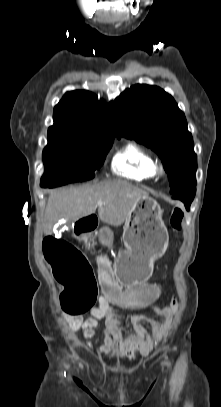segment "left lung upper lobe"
<instances>
[{
    "label": "left lung upper lobe",
    "mask_w": 221,
    "mask_h": 407,
    "mask_svg": "<svg viewBox=\"0 0 221 407\" xmlns=\"http://www.w3.org/2000/svg\"><path fill=\"white\" fill-rule=\"evenodd\" d=\"M117 136L154 150L168 174L170 193L196 187L197 156L184 113L157 86L137 84L115 99Z\"/></svg>",
    "instance_id": "obj_1"
}]
</instances>
